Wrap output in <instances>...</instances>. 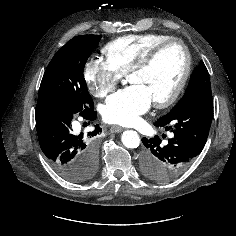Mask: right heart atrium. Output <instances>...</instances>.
<instances>
[{"label":"right heart atrium","instance_id":"1","mask_svg":"<svg viewBox=\"0 0 236 236\" xmlns=\"http://www.w3.org/2000/svg\"><path fill=\"white\" fill-rule=\"evenodd\" d=\"M83 78L91 93L103 98L117 87L122 74L108 60L92 57L84 65Z\"/></svg>","mask_w":236,"mask_h":236}]
</instances>
